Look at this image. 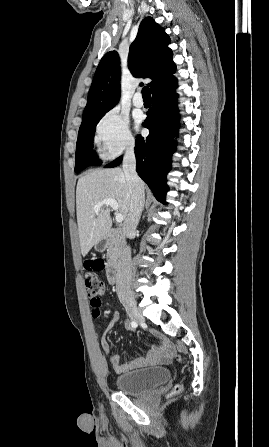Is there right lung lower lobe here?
<instances>
[{
    "label": "right lung lower lobe",
    "instance_id": "98d812e1",
    "mask_svg": "<svg viewBox=\"0 0 269 447\" xmlns=\"http://www.w3.org/2000/svg\"><path fill=\"white\" fill-rule=\"evenodd\" d=\"M170 74L160 79L151 89L153 105L147 112V119L143 126L149 129L147 138L140 135L136 138L135 155L136 171L150 187L158 201H164L168 187L166 175L171 168V156L176 150L173 141L177 134L179 119L175 93L177 80ZM122 157L117 158L107 168L118 166Z\"/></svg>",
    "mask_w": 269,
    "mask_h": 447
}]
</instances>
